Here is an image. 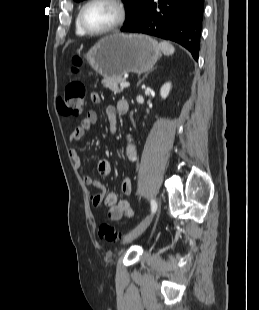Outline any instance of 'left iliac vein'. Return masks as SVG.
<instances>
[{
	"instance_id": "1",
	"label": "left iliac vein",
	"mask_w": 259,
	"mask_h": 310,
	"mask_svg": "<svg viewBox=\"0 0 259 310\" xmlns=\"http://www.w3.org/2000/svg\"><path fill=\"white\" fill-rule=\"evenodd\" d=\"M154 217V213L147 216L138 226H136L129 234H127L123 240V244L132 242L139 237L150 225Z\"/></svg>"
}]
</instances>
